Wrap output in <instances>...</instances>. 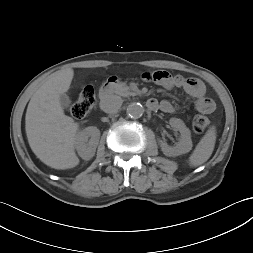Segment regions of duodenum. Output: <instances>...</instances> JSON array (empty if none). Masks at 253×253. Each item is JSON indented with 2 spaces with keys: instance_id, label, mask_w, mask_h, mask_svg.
<instances>
[{
  "instance_id": "obj_1",
  "label": "duodenum",
  "mask_w": 253,
  "mask_h": 253,
  "mask_svg": "<svg viewBox=\"0 0 253 253\" xmlns=\"http://www.w3.org/2000/svg\"><path fill=\"white\" fill-rule=\"evenodd\" d=\"M118 83L117 78H110L106 84L100 89L99 96L102 101L107 100L110 90ZM147 107L151 110L158 108V102L155 99H149L147 101Z\"/></svg>"
}]
</instances>
